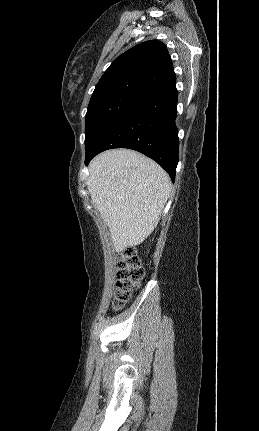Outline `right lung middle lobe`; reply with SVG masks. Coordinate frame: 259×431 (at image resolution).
I'll return each instance as SVG.
<instances>
[{"instance_id":"right-lung-middle-lobe-1","label":"right lung middle lobe","mask_w":259,"mask_h":431,"mask_svg":"<svg viewBox=\"0 0 259 431\" xmlns=\"http://www.w3.org/2000/svg\"><path fill=\"white\" fill-rule=\"evenodd\" d=\"M150 90L141 82L129 81L93 93L86 113V153L126 109Z\"/></svg>"}]
</instances>
